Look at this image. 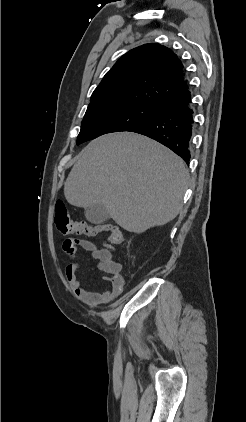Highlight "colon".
I'll list each match as a JSON object with an SVG mask.
<instances>
[{
  "label": "colon",
  "instance_id": "5ec220e1",
  "mask_svg": "<svg viewBox=\"0 0 246 422\" xmlns=\"http://www.w3.org/2000/svg\"><path fill=\"white\" fill-rule=\"evenodd\" d=\"M55 225L62 234H79L94 237L101 233H109V245L105 250H110L112 246L118 245L124 241L123 231L110 224L90 225L86 222L73 220L62 202L55 205ZM108 267L110 265H107Z\"/></svg>",
  "mask_w": 246,
  "mask_h": 422
}]
</instances>
